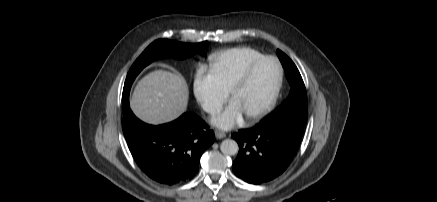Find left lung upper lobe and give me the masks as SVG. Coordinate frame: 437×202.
Masks as SVG:
<instances>
[{"label":"left lung upper lobe","mask_w":437,"mask_h":202,"mask_svg":"<svg viewBox=\"0 0 437 202\" xmlns=\"http://www.w3.org/2000/svg\"><path fill=\"white\" fill-rule=\"evenodd\" d=\"M277 55L284 68L290 84V94L284 103L263 121L289 117L300 123H305L308 110L307 94L303 79L292 60L282 51L277 50Z\"/></svg>","instance_id":"left-lung-upper-lobe-1"}]
</instances>
